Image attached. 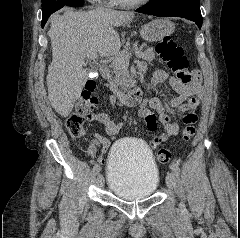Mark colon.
<instances>
[{
    "mask_svg": "<svg viewBox=\"0 0 240 238\" xmlns=\"http://www.w3.org/2000/svg\"><path fill=\"white\" fill-rule=\"evenodd\" d=\"M156 52L167 63L177 80L183 84H190L194 81V72L188 69V59L182 47L177 45L171 38L167 37L160 41L156 45ZM95 88L94 82L86 84L75 111L66 120L67 130L75 138H82L86 133V117L97 102L94 95ZM194 134L195 127L193 124H187L182 132L183 140L185 142L189 141ZM170 159L171 152L169 150L160 149L157 152V160L160 164H167Z\"/></svg>",
    "mask_w": 240,
    "mask_h": 238,
    "instance_id": "5ec220e1",
    "label": "colon"
}]
</instances>
